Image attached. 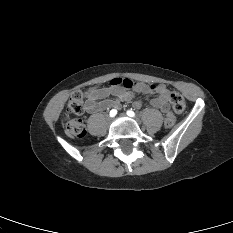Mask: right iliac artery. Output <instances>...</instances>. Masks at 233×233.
<instances>
[{
    "mask_svg": "<svg viewBox=\"0 0 233 233\" xmlns=\"http://www.w3.org/2000/svg\"><path fill=\"white\" fill-rule=\"evenodd\" d=\"M117 114V110L116 109H112L110 111V117H114Z\"/></svg>",
    "mask_w": 233,
    "mask_h": 233,
    "instance_id": "right-iliac-artery-1",
    "label": "right iliac artery"
}]
</instances>
